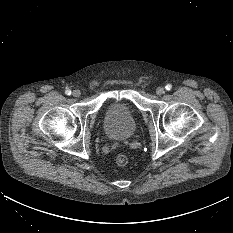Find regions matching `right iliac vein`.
I'll return each instance as SVG.
<instances>
[{
  "label": "right iliac vein",
  "instance_id": "1",
  "mask_svg": "<svg viewBox=\"0 0 233 233\" xmlns=\"http://www.w3.org/2000/svg\"><path fill=\"white\" fill-rule=\"evenodd\" d=\"M72 95L74 96V97H79L80 95H81V92L79 91V90H74L73 92H72Z\"/></svg>",
  "mask_w": 233,
  "mask_h": 233
}]
</instances>
